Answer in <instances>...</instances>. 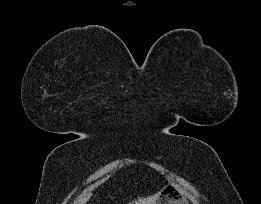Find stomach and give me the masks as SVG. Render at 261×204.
Segmentation results:
<instances>
[{"label": "stomach", "instance_id": "stomach-1", "mask_svg": "<svg viewBox=\"0 0 261 204\" xmlns=\"http://www.w3.org/2000/svg\"><path fill=\"white\" fill-rule=\"evenodd\" d=\"M153 204H188V201L186 198L181 197L176 185L170 184L161 190Z\"/></svg>", "mask_w": 261, "mask_h": 204}]
</instances>
